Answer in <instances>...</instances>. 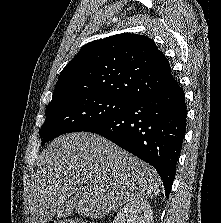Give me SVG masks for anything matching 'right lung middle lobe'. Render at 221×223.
<instances>
[{"label":"right lung middle lobe","instance_id":"1","mask_svg":"<svg viewBox=\"0 0 221 223\" xmlns=\"http://www.w3.org/2000/svg\"><path fill=\"white\" fill-rule=\"evenodd\" d=\"M133 102L104 95H83L50 103L41 127V145L69 132L86 131L126 110Z\"/></svg>","mask_w":221,"mask_h":223}]
</instances>
